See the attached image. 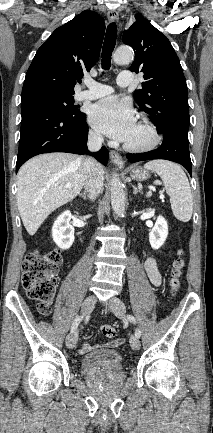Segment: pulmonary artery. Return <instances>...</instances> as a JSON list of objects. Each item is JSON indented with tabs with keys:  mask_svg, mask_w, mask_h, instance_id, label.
<instances>
[{
	"mask_svg": "<svg viewBox=\"0 0 213 433\" xmlns=\"http://www.w3.org/2000/svg\"><path fill=\"white\" fill-rule=\"evenodd\" d=\"M132 83L131 73L123 71L118 75L117 84L120 87H127ZM86 90L77 94L78 100H94L105 97L113 92V88L90 79L85 80Z\"/></svg>",
	"mask_w": 213,
	"mask_h": 433,
	"instance_id": "1",
	"label": "pulmonary artery"
}]
</instances>
